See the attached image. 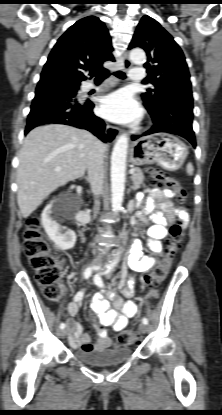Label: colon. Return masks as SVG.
I'll use <instances>...</instances> for the list:
<instances>
[{
    "instance_id": "obj_1",
    "label": "colon",
    "mask_w": 222,
    "mask_h": 415,
    "mask_svg": "<svg viewBox=\"0 0 222 415\" xmlns=\"http://www.w3.org/2000/svg\"><path fill=\"white\" fill-rule=\"evenodd\" d=\"M152 181L162 184L171 189L181 200H185L186 195L179 182L159 171H150ZM183 233L181 222L175 223L170 228V244L166 254L162 259L143 277L144 285L150 290L151 295H156V289L166 277L173 260V256ZM24 252L30 260L32 268L36 271V279L44 288V295L47 299L56 301L61 298L64 288L59 281L62 268L61 259L55 255L49 243L43 237L38 216H30L26 221L24 233ZM139 339L138 332L127 330L122 332L116 339L114 347L128 345Z\"/></svg>"
}]
</instances>
